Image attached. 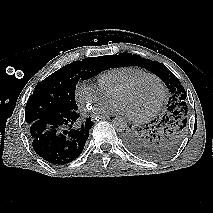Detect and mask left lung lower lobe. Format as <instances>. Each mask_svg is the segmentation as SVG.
<instances>
[{"mask_svg":"<svg viewBox=\"0 0 213 213\" xmlns=\"http://www.w3.org/2000/svg\"><path fill=\"white\" fill-rule=\"evenodd\" d=\"M164 119L161 118L159 121L152 122L143 129H132L130 125L128 130H124L125 134L123 136L128 149L138 156L149 158L152 152L151 144L153 138L156 137L158 129L164 123Z\"/></svg>","mask_w":213,"mask_h":213,"instance_id":"1","label":"left lung lower lobe"}]
</instances>
